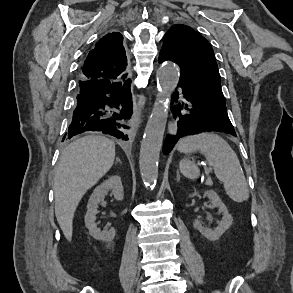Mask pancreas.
Masks as SVG:
<instances>
[{
	"instance_id": "pancreas-1",
	"label": "pancreas",
	"mask_w": 293,
	"mask_h": 293,
	"mask_svg": "<svg viewBox=\"0 0 293 293\" xmlns=\"http://www.w3.org/2000/svg\"><path fill=\"white\" fill-rule=\"evenodd\" d=\"M207 184H208V185H212V182H211V181H208Z\"/></svg>"
}]
</instances>
